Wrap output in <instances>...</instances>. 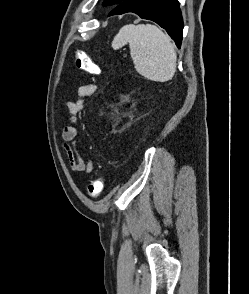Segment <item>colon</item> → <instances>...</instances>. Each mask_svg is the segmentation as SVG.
<instances>
[{
	"instance_id": "obj_1",
	"label": "colon",
	"mask_w": 249,
	"mask_h": 294,
	"mask_svg": "<svg viewBox=\"0 0 249 294\" xmlns=\"http://www.w3.org/2000/svg\"><path fill=\"white\" fill-rule=\"evenodd\" d=\"M75 64L78 69H81L88 74L96 75L100 72L99 66L94 61H92V59L86 53L81 51H77L75 53ZM104 183V178H97L93 180L88 186V195L92 198L97 197L102 192Z\"/></svg>"
}]
</instances>
